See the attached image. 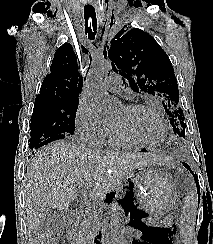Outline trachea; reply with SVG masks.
Masks as SVG:
<instances>
[{
  "label": "trachea",
  "mask_w": 213,
  "mask_h": 244,
  "mask_svg": "<svg viewBox=\"0 0 213 244\" xmlns=\"http://www.w3.org/2000/svg\"><path fill=\"white\" fill-rule=\"evenodd\" d=\"M84 17L86 23L85 32L88 34V38L93 40L97 30V19L94 7H85Z\"/></svg>",
  "instance_id": "1"
}]
</instances>
